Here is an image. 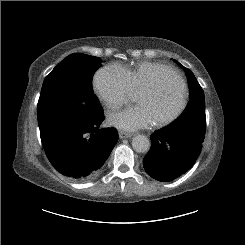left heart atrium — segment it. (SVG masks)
<instances>
[{
  "label": "left heart atrium",
  "mask_w": 245,
  "mask_h": 245,
  "mask_svg": "<svg viewBox=\"0 0 245 245\" xmlns=\"http://www.w3.org/2000/svg\"><path fill=\"white\" fill-rule=\"evenodd\" d=\"M108 122L123 131H136L148 128L155 121L147 107L138 105L110 111Z\"/></svg>",
  "instance_id": "1"
}]
</instances>
